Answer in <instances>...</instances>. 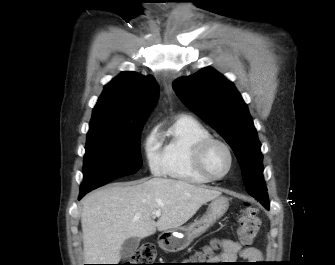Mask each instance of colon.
I'll list each match as a JSON object with an SVG mask.
<instances>
[{"instance_id":"1","label":"colon","mask_w":335,"mask_h":265,"mask_svg":"<svg viewBox=\"0 0 335 265\" xmlns=\"http://www.w3.org/2000/svg\"><path fill=\"white\" fill-rule=\"evenodd\" d=\"M261 219L258 210L253 206H247L239 219L238 235L243 244H250L259 232ZM220 246L216 241L198 252L194 259L203 261L210 257L214 251ZM156 259V249L151 244L142 245L130 261L124 265H154Z\"/></svg>"}]
</instances>
